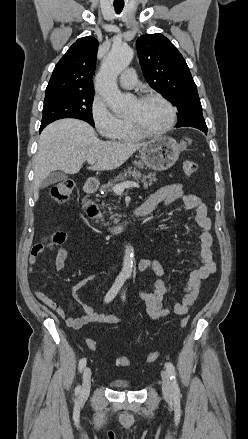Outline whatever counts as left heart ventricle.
Wrapping results in <instances>:
<instances>
[{
	"mask_svg": "<svg viewBox=\"0 0 248 439\" xmlns=\"http://www.w3.org/2000/svg\"><path fill=\"white\" fill-rule=\"evenodd\" d=\"M127 118H133L146 130H160L169 123L170 111L168 107L158 99H150L144 102L135 100Z\"/></svg>",
	"mask_w": 248,
	"mask_h": 439,
	"instance_id": "obj_1",
	"label": "left heart ventricle"
}]
</instances>
